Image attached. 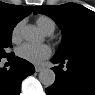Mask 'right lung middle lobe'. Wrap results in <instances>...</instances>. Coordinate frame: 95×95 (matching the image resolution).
Listing matches in <instances>:
<instances>
[{
    "instance_id": "dd1d6c3e",
    "label": "right lung middle lobe",
    "mask_w": 95,
    "mask_h": 95,
    "mask_svg": "<svg viewBox=\"0 0 95 95\" xmlns=\"http://www.w3.org/2000/svg\"><path fill=\"white\" fill-rule=\"evenodd\" d=\"M15 23L0 22V59L5 56V48L11 45Z\"/></svg>"
}]
</instances>
